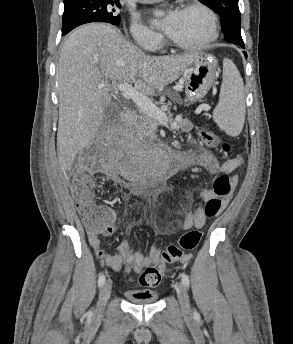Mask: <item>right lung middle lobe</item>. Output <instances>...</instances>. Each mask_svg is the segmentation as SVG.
<instances>
[{
	"instance_id": "1",
	"label": "right lung middle lobe",
	"mask_w": 293,
	"mask_h": 344,
	"mask_svg": "<svg viewBox=\"0 0 293 344\" xmlns=\"http://www.w3.org/2000/svg\"><path fill=\"white\" fill-rule=\"evenodd\" d=\"M64 5L62 35L85 23L106 22L113 25L120 23V15L112 9L114 5L121 7L118 0H77Z\"/></svg>"
}]
</instances>
